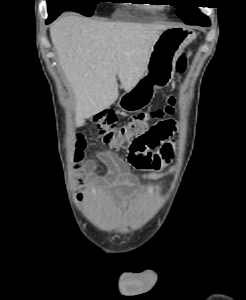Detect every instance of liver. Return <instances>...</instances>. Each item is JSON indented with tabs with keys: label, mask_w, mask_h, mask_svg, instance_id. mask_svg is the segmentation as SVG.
Here are the masks:
<instances>
[{
	"label": "liver",
	"mask_w": 246,
	"mask_h": 300,
	"mask_svg": "<svg viewBox=\"0 0 246 300\" xmlns=\"http://www.w3.org/2000/svg\"><path fill=\"white\" fill-rule=\"evenodd\" d=\"M169 25L65 16L50 28L60 66L76 97L75 124L110 107L144 75L152 47Z\"/></svg>",
	"instance_id": "1"
}]
</instances>
